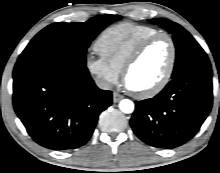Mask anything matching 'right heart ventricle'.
Listing matches in <instances>:
<instances>
[{
	"label": "right heart ventricle",
	"instance_id": "right-heart-ventricle-1",
	"mask_svg": "<svg viewBox=\"0 0 220 173\" xmlns=\"http://www.w3.org/2000/svg\"><path fill=\"white\" fill-rule=\"evenodd\" d=\"M157 33L159 31L154 27L125 22L104 30L95 48L104 60L121 72L133 50L143 40Z\"/></svg>",
	"mask_w": 220,
	"mask_h": 173
}]
</instances>
